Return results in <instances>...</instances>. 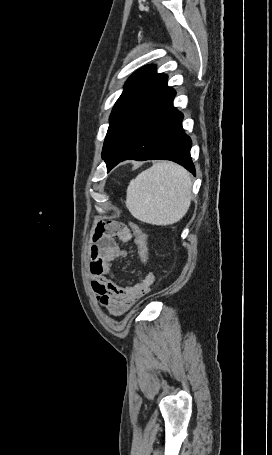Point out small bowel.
I'll list each match as a JSON object with an SVG mask.
<instances>
[{"mask_svg": "<svg viewBox=\"0 0 272 455\" xmlns=\"http://www.w3.org/2000/svg\"><path fill=\"white\" fill-rule=\"evenodd\" d=\"M131 238L129 229L119 223H99L94 231L90 253L92 285L98 301L112 316L127 312L150 291L156 279L155 274L149 272L141 281L128 286L113 280L112 264L125 254L115 239L129 242Z\"/></svg>", "mask_w": 272, "mask_h": 455, "instance_id": "obj_1", "label": "small bowel"}]
</instances>
